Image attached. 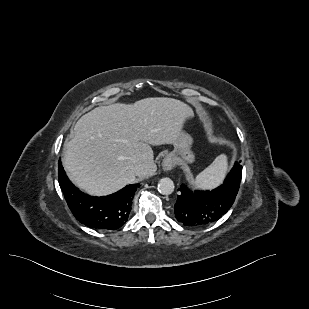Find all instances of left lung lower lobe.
<instances>
[{
  "label": "left lung lower lobe",
  "instance_id": "1",
  "mask_svg": "<svg viewBox=\"0 0 309 309\" xmlns=\"http://www.w3.org/2000/svg\"><path fill=\"white\" fill-rule=\"evenodd\" d=\"M242 166L235 162L224 183L212 191H189L181 186L175 217L185 226H207L220 219L232 206L239 190Z\"/></svg>",
  "mask_w": 309,
  "mask_h": 309
}]
</instances>
